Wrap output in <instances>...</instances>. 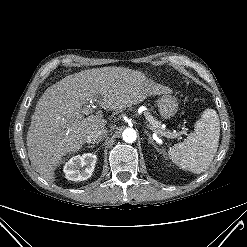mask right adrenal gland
I'll return each mask as SVG.
<instances>
[{
	"instance_id": "1",
	"label": "right adrenal gland",
	"mask_w": 247,
	"mask_h": 247,
	"mask_svg": "<svg viewBox=\"0 0 247 247\" xmlns=\"http://www.w3.org/2000/svg\"><path fill=\"white\" fill-rule=\"evenodd\" d=\"M95 146H93V145H90V146H88V148H91V149H93Z\"/></svg>"
}]
</instances>
